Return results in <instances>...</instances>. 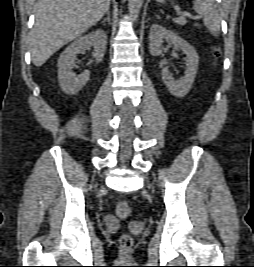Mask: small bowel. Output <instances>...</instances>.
Listing matches in <instances>:
<instances>
[{
	"instance_id": "small-bowel-1",
	"label": "small bowel",
	"mask_w": 254,
	"mask_h": 267,
	"mask_svg": "<svg viewBox=\"0 0 254 267\" xmlns=\"http://www.w3.org/2000/svg\"><path fill=\"white\" fill-rule=\"evenodd\" d=\"M107 221H108L109 223H114V222H115V218H114L112 215H108V216H107Z\"/></svg>"
}]
</instances>
